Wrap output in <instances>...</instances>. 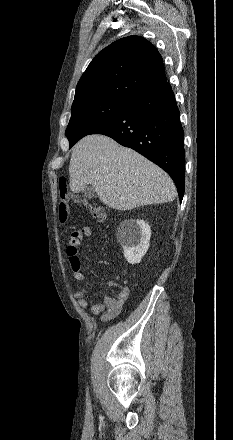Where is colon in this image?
Returning a JSON list of instances; mask_svg holds the SVG:
<instances>
[{"mask_svg":"<svg viewBox=\"0 0 233 440\" xmlns=\"http://www.w3.org/2000/svg\"><path fill=\"white\" fill-rule=\"evenodd\" d=\"M58 192H59V220L62 224L66 223L69 215V191L68 183L65 177L59 179L58 182ZM83 207H85L89 213L99 222H105L107 220L106 210L98 205L89 203L85 200L76 199Z\"/></svg>","mask_w":233,"mask_h":440,"instance_id":"colon-1","label":"colon"}]
</instances>
